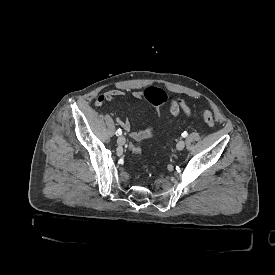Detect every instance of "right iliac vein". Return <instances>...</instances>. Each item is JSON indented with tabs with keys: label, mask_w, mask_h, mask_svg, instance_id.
Wrapping results in <instances>:
<instances>
[{
	"label": "right iliac vein",
	"mask_w": 275,
	"mask_h": 275,
	"mask_svg": "<svg viewBox=\"0 0 275 275\" xmlns=\"http://www.w3.org/2000/svg\"><path fill=\"white\" fill-rule=\"evenodd\" d=\"M125 142H126L125 137L122 136V135H120V136L118 137V139H117L118 145H119V146H123V145L125 144Z\"/></svg>",
	"instance_id": "63e3f726"
}]
</instances>
